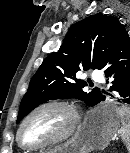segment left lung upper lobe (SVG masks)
I'll list each match as a JSON object with an SVG mask.
<instances>
[{"mask_svg": "<svg viewBox=\"0 0 130 153\" xmlns=\"http://www.w3.org/2000/svg\"><path fill=\"white\" fill-rule=\"evenodd\" d=\"M118 19L91 15L75 23L60 49L48 55L32 77L19 109L20 122L38 105L52 99L74 97L93 106L101 95L99 88L86 93L83 80L76 78L80 70L102 69L110 47L121 31Z\"/></svg>", "mask_w": 130, "mask_h": 153, "instance_id": "obj_1", "label": "left lung upper lobe"}]
</instances>
